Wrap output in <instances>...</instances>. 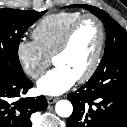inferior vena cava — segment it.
Here are the masks:
<instances>
[{"mask_svg":"<svg viewBox=\"0 0 127 127\" xmlns=\"http://www.w3.org/2000/svg\"><path fill=\"white\" fill-rule=\"evenodd\" d=\"M42 73L41 72H34L33 73V75H35V76H39V75H41Z\"/></svg>","mask_w":127,"mask_h":127,"instance_id":"602c4592","label":"inferior vena cava"}]
</instances>
